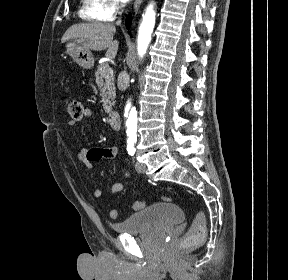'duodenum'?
Masks as SVG:
<instances>
[{
    "mask_svg": "<svg viewBox=\"0 0 288 280\" xmlns=\"http://www.w3.org/2000/svg\"><path fill=\"white\" fill-rule=\"evenodd\" d=\"M108 123L114 130H119L121 126L120 115L117 111H111L108 114Z\"/></svg>",
    "mask_w": 288,
    "mask_h": 280,
    "instance_id": "obj_1",
    "label": "duodenum"
}]
</instances>
